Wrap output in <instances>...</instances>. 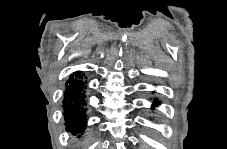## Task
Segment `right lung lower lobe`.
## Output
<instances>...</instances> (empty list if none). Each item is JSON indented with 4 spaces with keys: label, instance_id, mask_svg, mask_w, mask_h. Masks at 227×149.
I'll return each instance as SVG.
<instances>
[{
    "label": "right lung lower lobe",
    "instance_id": "right-lung-lower-lobe-1",
    "mask_svg": "<svg viewBox=\"0 0 227 149\" xmlns=\"http://www.w3.org/2000/svg\"><path fill=\"white\" fill-rule=\"evenodd\" d=\"M86 85L81 73L70 76L66 82L63 110L66 130L72 135H80L86 126Z\"/></svg>",
    "mask_w": 227,
    "mask_h": 149
}]
</instances>
